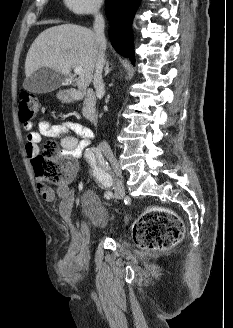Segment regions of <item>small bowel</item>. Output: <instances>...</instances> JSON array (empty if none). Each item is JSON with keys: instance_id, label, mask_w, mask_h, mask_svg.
<instances>
[{"instance_id": "1", "label": "small bowel", "mask_w": 233, "mask_h": 328, "mask_svg": "<svg viewBox=\"0 0 233 328\" xmlns=\"http://www.w3.org/2000/svg\"><path fill=\"white\" fill-rule=\"evenodd\" d=\"M24 129L27 131L25 151L30 158L37 154L42 137L58 138L61 144V155L71 159H78L90 150L93 138V132L88 127L74 121H64L54 125L43 121L39 125V131H32V124L24 123ZM74 174L75 167H73L70 177L59 184L56 190L42 182L37 184L38 192L45 201L54 202L56 198L60 199L59 211L66 221L71 220L75 202L74 190L69 185ZM60 266L69 285L79 283L81 275L69 255L66 254L61 259Z\"/></svg>"}]
</instances>
